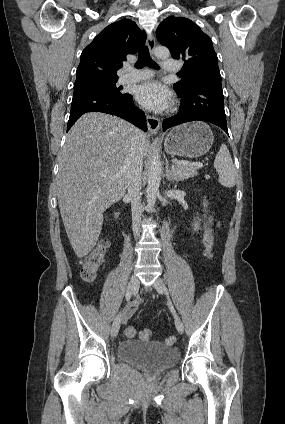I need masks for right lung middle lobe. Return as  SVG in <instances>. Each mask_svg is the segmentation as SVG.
Listing matches in <instances>:
<instances>
[{"label":"right lung middle lobe","mask_w":285,"mask_h":424,"mask_svg":"<svg viewBox=\"0 0 285 424\" xmlns=\"http://www.w3.org/2000/svg\"><path fill=\"white\" fill-rule=\"evenodd\" d=\"M117 80L110 81H90L74 85V94L83 92H97L112 96H123L126 93L120 92V88L116 87Z\"/></svg>","instance_id":"dd1d6c3e"}]
</instances>
